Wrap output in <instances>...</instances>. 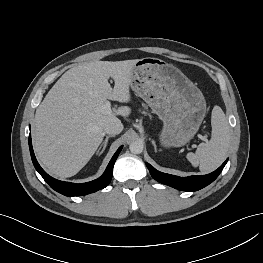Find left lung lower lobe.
Here are the masks:
<instances>
[{
	"instance_id": "left-lung-lower-lobe-1",
	"label": "left lung lower lobe",
	"mask_w": 263,
	"mask_h": 263,
	"mask_svg": "<svg viewBox=\"0 0 263 263\" xmlns=\"http://www.w3.org/2000/svg\"><path fill=\"white\" fill-rule=\"evenodd\" d=\"M226 163L227 160L217 170L210 174L189 177H178L159 172L149 163H146V166L148 167L152 177L162 184L171 186L181 191H197L212 183L221 173Z\"/></svg>"
}]
</instances>
